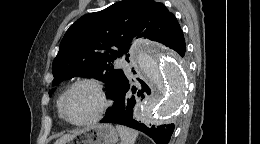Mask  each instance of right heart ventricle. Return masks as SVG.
<instances>
[{
  "label": "right heart ventricle",
  "instance_id": "1",
  "mask_svg": "<svg viewBox=\"0 0 260 144\" xmlns=\"http://www.w3.org/2000/svg\"><path fill=\"white\" fill-rule=\"evenodd\" d=\"M65 92H63L60 96H59V98H58V100H57V109H58V113H59V117L62 119V115H61V112H60V103H61V99H62V96H63V94H64Z\"/></svg>",
  "mask_w": 260,
  "mask_h": 144
}]
</instances>
